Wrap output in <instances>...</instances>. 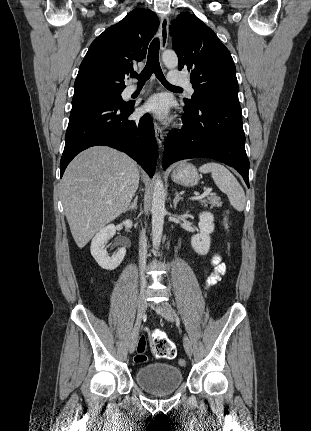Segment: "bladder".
<instances>
[{
	"label": "bladder",
	"mask_w": 311,
	"mask_h": 431,
	"mask_svg": "<svg viewBox=\"0 0 311 431\" xmlns=\"http://www.w3.org/2000/svg\"><path fill=\"white\" fill-rule=\"evenodd\" d=\"M138 385L148 393L166 395L176 391L183 382V372L169 363H151L139 367L135 373Z\"/></svg>",
	"instance_id": "31cf9c89"
}]
</instances>
